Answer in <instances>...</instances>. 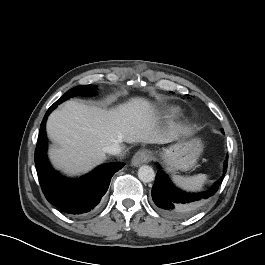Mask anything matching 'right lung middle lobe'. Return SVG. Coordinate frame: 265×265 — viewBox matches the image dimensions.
Listing matches in <instances>:
<instances>
[{
  "mask_svg": "<svg viewBox=\"0 0 265 265\" xmlns=\"http://www.w3.org/2000/svg\"><path fill=\"white\" fill-rule=\"evenodd\" d=\"M93 85L77 86L67 91L60 99L55 103L58 105L63 101L77 95H92L94 93L92 89Z\"/></svg>",
  "mask_w": 265,
  "mask_h": 265,
  "instance_id": "1",
  "label": "right lung middle lobe"
}]
</instances>
